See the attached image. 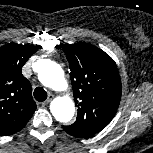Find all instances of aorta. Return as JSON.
Segmentation results:
<instances>
[{
    "label": "aorta",
    "instance_id": "obj_1",
    "mask_svg": "<svg viewBox=\"0 0 153 153\" xmlns=\"http://www.w3.org/2000/svg\"><path fill=\"white\" fill-rule=\"evenodd\" d=\"M38 78L44 86L54 91L60 92L68 88L62 68L51 60L41 62L38 69ZM50 110L56 120L67 123L74 116L75 105L69 96H61L52 101Z\"/></svg>",
    "mask_w": 153,
    "mask_h": 153
}]
</instances>
